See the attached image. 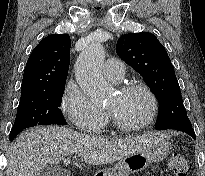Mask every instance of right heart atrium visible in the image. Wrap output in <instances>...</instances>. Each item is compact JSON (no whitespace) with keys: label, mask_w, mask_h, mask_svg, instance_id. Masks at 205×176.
<instances>
[{"label":"right heart atrium","mask_w":205,"mask_h":176,"mask_svg":"<svg viewBox=\"0 0 205 176\" xmlns=\"http://www.w3.org/2000/svg\"><path fill=\"white\" fill-rule=\"evenodd\" d=\"M61 108L67 119L82 131H92L105 123L107 113L73 82L67 84L61 100Z\"/></svg>","instance_id":"obj_1"}]
</instances>
